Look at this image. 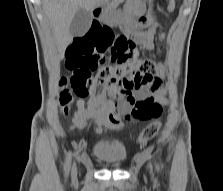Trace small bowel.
<instances>
[{
  "label": "small bowel",
  "instance_id": "1",
  "mask_svg": "<svg viewBox=\"0 0 223 191\" xmlns=\"http://www.w3.org/2000/svg\"><path fill=\"white\" fill-rule=\"evenodd\" d=\"M101 26L95 24L93 28ZM156 27L152 25L147 30L134 34L147 50L154 48ZM106 95L109 96L108 99ZM165 103L166 99L160 92L159 78L133 89L125 87L124 83L97 84L87 99L77 101L78 110L73 117L71 130L84 129L90 125L94 126L97 134L117 130L123 127V116L136 121L147 120L154 116V107L160 109ZM90 118L92 122L88 121Z\"/></svg>",
  "mask_w": 223,
  "mask_h": 191
}]
</instances>
